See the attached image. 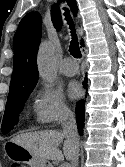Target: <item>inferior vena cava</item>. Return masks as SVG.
Segmentation results:
<instances>
[{"instance_id":"1","label":"inferior vena cava","mask_w":125,"mask_h":167,"mask_svg":"<svg viewBox=\"0 0 125 167\" xmlns=\"http://www.w3.org/2000/svg\"><path fill=\"white\" fill-rule=\"evenodd\" d=\"M60 121L63 128V134L66 135L73 144L70 160L71 164L69 167H78L79 135L75 115L70 109L64 108L60 112Z\"/></svg>"}]
</instances>
